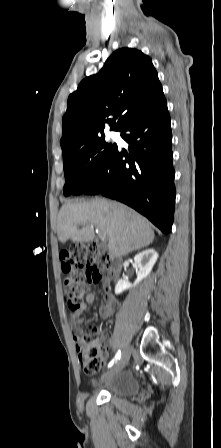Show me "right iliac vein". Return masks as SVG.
<instances>
[{"instance_id": "63e3f726", "label": "right iliac vein", "mask_w": 221, "mask_h": 448, "mask_svg": "<svg viewBox=\"0 0 221 448\" xmlns=\"http://www.w3.org/2000/svg\"><path fill=\"white\" fill-rule=\"evenodd\" d=\"M131 352L132 348L128 346L122 353V356L116 365L110 369L109 374L113 375L123 370L130 359Z\"/></svg>"}]
</instances>
